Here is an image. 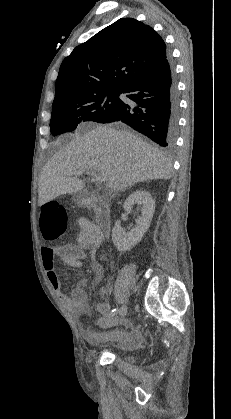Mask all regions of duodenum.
<instances>
[{"mask_svg": "<svg viewBox=\"0 0 231 419\" xmlns=\"http://www.w3.org/2000/svg\"><path fill=\"white\" fill-rule=\"evenodd\" d=\"M84 204L92 206L98 230L103 237H105L111 228V216L109 206L100 198L90 197L82 200Z\"/></svg>", "mask_w": 231, "mask_h": 419, "instance_id": "obj_1", "label": "duodenum"}]
</instances>
